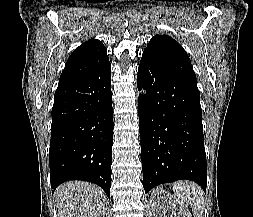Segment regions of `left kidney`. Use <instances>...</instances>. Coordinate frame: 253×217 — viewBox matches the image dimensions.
<instances>
[{
    "instance_id": "left-kidney-1",
    "label": "left kidney",
    "mask_w": 253,
    "mask_h": 217,
    "mask_svg": "<svg viewBox=\"0 0 253 217\" xmlns=\"http://www.w3.org/2000/svg\"><path fill=\"white\" fill-rule=\"evenodd\" d=\"M160 200H162V203ZM151 203L155 217H167L164 205H167V207H169L175 217H192L190 211L183 202L174 198L162 188L154 190Z\"/></svg>"
}]
</instances>
